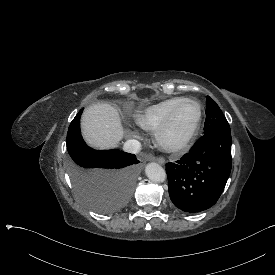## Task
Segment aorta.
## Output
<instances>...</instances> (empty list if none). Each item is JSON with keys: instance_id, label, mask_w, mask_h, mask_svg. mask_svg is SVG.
Instances as JSON below:
<instances>
[{"instance_id": "762f6f07", "label": "aorta", "mask_w": 275, "mask_h": 275, "mask_svg": "<svg viewBox=\"0 0 275 275\" xmlns=\"http://www.w3.org/2000/svg\"><path fill=\"white\" fill-rule=\"evenodd\" d=\"M145 174L152 181H163L165 172L163 168L156 162H149L145 165Z\"/></svg>"}]
</instances>
